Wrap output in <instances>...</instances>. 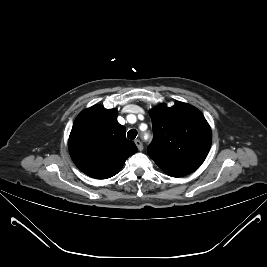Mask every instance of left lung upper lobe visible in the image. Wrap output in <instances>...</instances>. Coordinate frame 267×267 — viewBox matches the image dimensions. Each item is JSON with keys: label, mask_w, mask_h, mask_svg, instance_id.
<instances>
[{"label": "left lung upper lobe", "mask_w": 267, "mask_h": 267, "mask_svg": "<svg viewBox=\"0 0 267 267\" xmlns=\"http://www.w3.org/2000/svg\"><path fill=\"white\" fill-rule=\"evenodd\" d=\"M153 141L149 156L169 176L182 177L194 172L205 160L212 133L203 114L195 107L177 102L150 110Z\"/></svg>", "instance_id": "1"}]
</instances>
